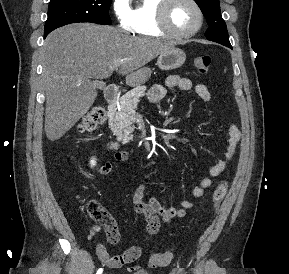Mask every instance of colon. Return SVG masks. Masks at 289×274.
Here are the masks:
<instances>
[{
    "label": "colon",
    "mask_w": 289,
    "mask_h": 274,
    "mask_svg": "<svg viewBox=\"0 0 289 274\" xmlns=\"http://www.w3.org/2000/svg\"><path fill=\"white\" fill-rule=\"evenodd\" d=\"M194 67L196 71L200 74H205L208 72L211 66V57L209 55H203L196 57L194 59ZM106 118V111L102 106L93 107L81 120L78 129L82 133H90L97 129ZM228 191V182L223 180L219 183L212 195V208L217 210L221 203L223 202ZM87 212L91 219L95 222V229H103L107 236L114 237L118 232L116 223L112 216L102 207V205L97 200H90L87 204ZM171 252L156 253L153 254L148 265L150 267L165 266L169 264L172 260ZM130 271L136 272V274H146L138 266H130Z\"/></svg>",
    "instance_id": "obj_1"
}]
</instances>
